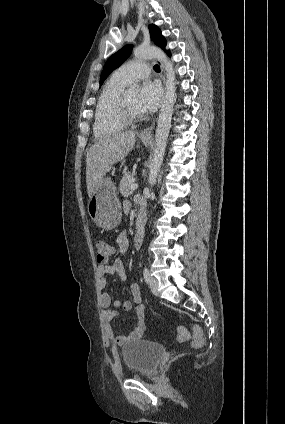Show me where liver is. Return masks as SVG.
<instances>
[{
    "label": "liver",
    "instance_id": "liver-1",
    "mask_svg": "<svg viewBox=\"0 0 285 424\" xmlns=\"http://www.w3.org/2000/svg\"><path fill=\"white\" fill-rule=\"evenodd\" d=\"M135 131L118 132L100 139L86 155V185L90 197L112 165L122 161L135 144Z\"/></svg>",
    "mask_w": 285,
    "mask_h": 424
}]
</instances>
